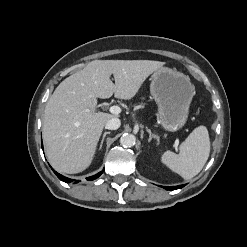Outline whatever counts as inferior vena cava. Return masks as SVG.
<instances>
[{"instance_id":"obj_1","label":"inferior vena cava","mask_w":247,"mask_h":247,"mask_svg":"<svg viewBox=\"0 0 247 247\" xmlns=\"http://www.w3.org/2000/svg\"><path fill=\"white\" fill-rule=\"evenodd\" d=\"M120 125H121L120 119L113 117L107 121L105 128L109 130H116L120 127Z\"/></svg>"}]
</instances>
